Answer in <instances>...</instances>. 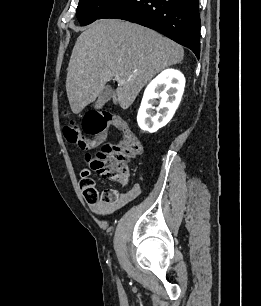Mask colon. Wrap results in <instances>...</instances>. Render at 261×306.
<instances>
[{
    "mask_svg": "<svg viewBox=\"0 0 261 306\" xmlns=\"http://www.w3.org/2000/svg\"><path fill=\"white\" fill-rule=\"evenodd\" d=\"M110 127L122 132L119 143L104 144L94 156L87 153L86 159L92 171L118 182L123 187H128L130 184L129 161L138 156L142 148L139 139L123 118L110 112L91 111L86 113L83 118L82 130L92 138L84 136L79 126L73 121L64 126L63 134L69 143L88 151L97 147L96 143L98 145L102 143L105 133ZM80 187L89 204L112 203L118 195L115 190H105L99 194L87 169L81 172Z\"/></svg>",
    "mask_w": 261,
    "mask_h": 306,
    "instance_id": "1",
    "label": "colon"
}]
</instances>
